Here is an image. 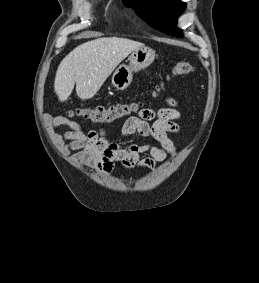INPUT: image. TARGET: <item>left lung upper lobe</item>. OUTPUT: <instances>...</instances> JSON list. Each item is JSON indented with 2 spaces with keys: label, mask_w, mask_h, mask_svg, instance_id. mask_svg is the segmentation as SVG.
<instances>
[{
  "label": "left lung upper lobe",
  "mask_w": 259,
  "mask_h": 283,
  "mask_svg": "<svg viewBox=\"0 0 259 283\" xmlns=\"http://www.w3.org/2000/svg\"><path fill=\"white\" fill-rule=\"evenodd\" d=\"M152 27L168 35H181L176 27L178 16L186 9L181 0H123Z\"/></svg>",
  "instance_id": "5c2ea615"
}]
</instances>
